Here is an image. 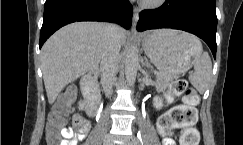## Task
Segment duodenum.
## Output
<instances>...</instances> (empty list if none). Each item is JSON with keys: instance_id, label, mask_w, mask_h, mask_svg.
Wrapping results in <instances>:
<instances>
[{"instance_id": "duodenum-1", "label": "duodenum", "mask_w": 243, "mask_h": 145, "mask_svg": "<svg viewBox=\"0 0 243 145\" xmlns=\"http://www.w3.org/2000/svg\"><path fill=\"white\" fill-rule=\"evenodd\" d=\"M97 75V71H90L82 81V90L87 101V113L91 117L96 116L100 103L99 90L96 84Z\"/></svg>"}]
</instances>
